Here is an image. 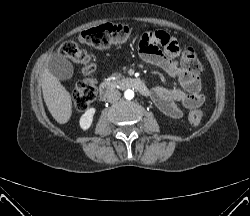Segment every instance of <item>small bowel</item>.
<instances>
[{"mask_svg":"<svg viewBox=\"0 0 250 216\" xmlns=\"http://www.w3.org/2000/svg\"><path fill=\"white\" fill-rule=\"evenodd\" d=\"M161 48L166 50V54ZM139 49L146 62L161 68L181 85V88L156 85L151 89V97L161 112L172 119H179L183 109L199 107L203 103L200 79L181 67L177 58L178 47L172 35L164 31L145 33Z\"/></svg>","mask_w":250,"mask_h":216,"instance_id":"c3829d8e","label":"small bowel"}]
</instances>
